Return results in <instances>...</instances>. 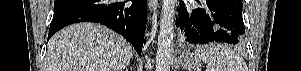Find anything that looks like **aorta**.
I'll use <instances>...</instances> for the list:
<instances>
[{
	"label": "aorta",
	"instance_id": "aorta-1",
	"mask_svg": "<svg viewBox=\"0 0 301 71\" xmlns=\"http://www.w3.org/2000/svg\"><path fill=\"white\" fill-rule=\"evenodd\" d=\"M175 0H163L158 36L156 71H170L174 38Z\"/></svg>",
	"mask_w": 301,
	"mask_h": 71
}]
</instances>
